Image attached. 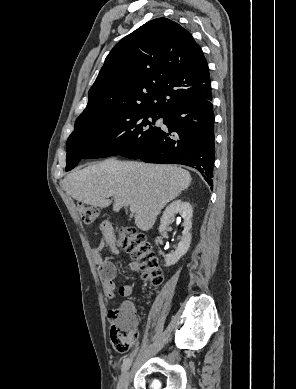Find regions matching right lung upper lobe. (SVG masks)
I'll return each mask as SVG.
<instances>
[{
	"instance_id": "right-lung-upper-lobe-1",
	"label": "right lung upper lobe",
	"mask_w": 296,
	"mask_h": 389,
	"mask_svg": "<svg viewBox=\"0 0 296 389\" xmlns=\"http://www.w3.org/2000/svg\"><path fill=\"white\" fill-rule=\"evenodd\" d=\"M209 95V68L200 46L176 22L157 18L111 50L78 118L127 107L166 115Z\"/></svg>"
}]
</instances>
